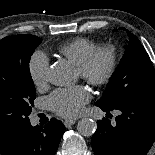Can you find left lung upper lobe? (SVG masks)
<instances>
[{
    "label": "left lung upper lobe",
    "instance_id": "left-lung-upper-lobe-1",
    "mask_svg": "<svg viewBox=\"0 0 155 155\" xmlns=\"http://www.w3.org/2000/svg\"><path fill=\"white\" fill-rule=\"evenodd\" d=\"M126 31L129 41L125 46L124 56L97 105L112 108L137 94L155 92L152 62L139 39Z\"/></svg>",
    "mask_w": 155,
    "mask_h": 155
}]
</instances>
